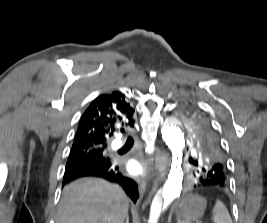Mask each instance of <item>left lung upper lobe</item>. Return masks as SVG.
Segmentation results:
<instances>
[{
    "instance_id": "1",
    "label": "left lung upper lobe",
    "mask_w": 267,
    "mask_h": 223,
    "mask_svg": "<svg viewBox=\"0 0 267 223\" xmlns=\"http://www.w3.org/2000/svg\"><path fill=\"white\" fill-rule=\"evenodd\" d=\"M197 156L190 162L195 171H228L226 157L209 118L199 110L185 107L180 111Z\"/></svg>"
}]
</instances>
